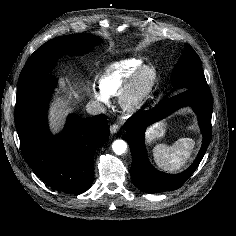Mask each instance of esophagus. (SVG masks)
Listing matches in <instances>:
<instances>
[{"label":"esophagus","instance_id":"esophagus-1","mask_svg":"<svg viewBox=\"0 0 236 236\" xmlns=\"http://www.w3.org/2000/svg\"><path fill=\"white\" fill-rule=\"evenodd\" d=\"M119 129H120V127H119V125H117V124H112V125L110 126V132H111L112 134L117 133V132L119 131Z\"/></svg>","mask_w":236,"mask_h":236}]
</instances>
